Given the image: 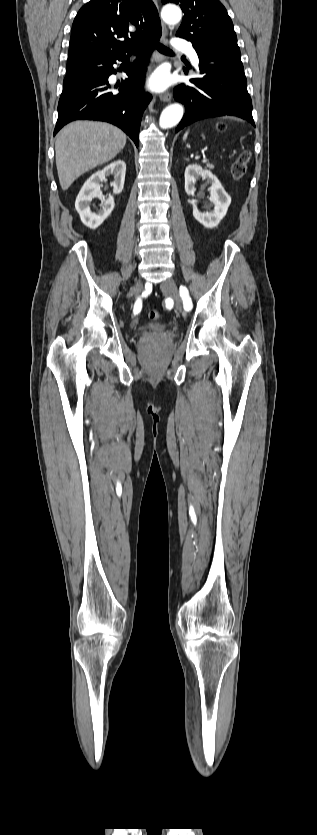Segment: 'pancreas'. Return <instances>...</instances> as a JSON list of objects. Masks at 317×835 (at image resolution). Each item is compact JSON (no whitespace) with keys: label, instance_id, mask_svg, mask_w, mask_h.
Wrapping results in <instances>:
<instances>
[{"label":"pancreas","instance_id":"cf45deb5","mask_svg":"<svg viewBox=\"0 0 317 835\" xmlns=\"http://www.w3.org/2000/svg\"><path fill=\"white\" fill-rule=\"evenodd\" d=\"M207 168H209V169H213V168H214V165H212V164H209V163H208V164H207Z\"/></svg>","mask_w":317,"mask_h":835}]
</instances>
